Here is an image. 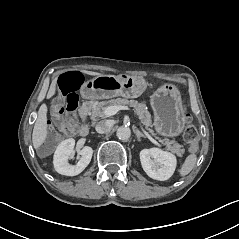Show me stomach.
<instances>
[{"mask_svg": "<svg viewBox=\"0 0 239 239\" xmlns=\"http://www.w3.org/2000/svg\"><path fill=\"white\" fill-rule=\"evenodd\" d=\"M147 87L144 78L127 74L99 75L86 81L80 88L83 98L89 100L113 97L137 98ZM154 111V127L162 136H177L185 126L186 118L179 89L172 84H164L150 97Z\"/></svg>", "mask_w": 239, "mask_h": 239, "instance_id": "obj_1", "label": "stomach"}]
</instances>
